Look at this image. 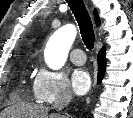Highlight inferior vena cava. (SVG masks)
<instances>
[{
    "label": "inferior vena cava",
    "instance_id": "602c4592",
    "mask_svg": "<svg viewBox=\"0 0 133 118\" xmlns=\"http://www.w3.org/2000/svg\"><path fill=\"white\" fill-rule=\"evenodd\" d=\"M71 97H72L71 91L66 88H62L57 94L56 100L53 104V108L56 111L60 112L70 102ZM54 115L57 118L60 117V115L58 114H54Z\"/></svg>",
    "mask_w": 133,
    "mask_h": 118
}]
</instances>
